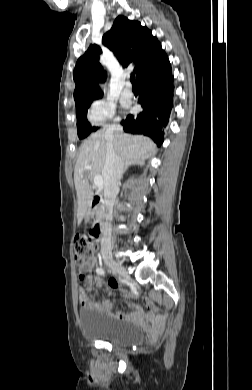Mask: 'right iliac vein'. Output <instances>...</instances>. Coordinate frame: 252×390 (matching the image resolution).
Masks as SVG:
<instances>
[{
	"instance_id": "63e3f726",
	"label": "right iliac vein",
	"mask_w": 252,
	"mask_h": 390,
	"mask_svg": "<svg viewBox=\"0 0 252 390\" xmlns=\"http://www.w3.org/2000/svg\"><path fill=\"white\" fill-rule=\"evenodd\" d=\"M106 265L115 273H118L120 274L121 276H123L124 278L128 279L129 278V275H128V272L126 271V269L124 268V266L115 261L113 258L111 257H106L104 259Z\"/></svg>"
}]
</instances>
